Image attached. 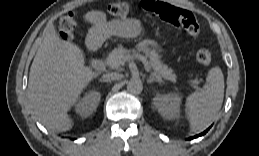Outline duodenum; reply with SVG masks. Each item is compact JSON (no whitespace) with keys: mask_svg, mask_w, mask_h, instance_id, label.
I'll return each mask as SVG.
<instances>
[{"mask_svg":"<svg viewBox=\"0 0 259 156\" xmlns=\"http://www.w3.org/2000/svg\"><path fill=\"white\" fill-rule=\"evenodd\" d=\"M90 64H91L92 68H94L96 70H101L105 66V63L102 59H93V60H91Z\"/></svg>","mask_w":259,"mask_h":156,"instance_id":"1","label":"duodenum"}]
</instances>
